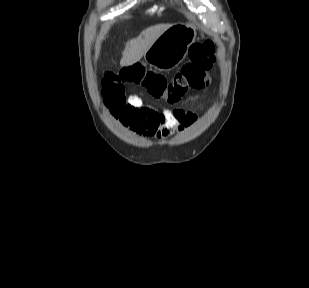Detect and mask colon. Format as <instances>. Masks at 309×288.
<instances>
[{"label":"colon","mask_w":309,"mask_h":288,"mask_svg":"<svg viewBox=\"0 0 309 288\" xmlns=\"http://www.w3.org/2000/svg\"><path fill=\"white\" fill-rule=\"evenodd\" d=\"M216 63L212 41L194 43L189 49V61L168 82L162 75L133 63L120 70L108 72L102 81L104 104L119 118L131 112L126 96V85L144 86L151 96L170 103L180 100L189 90H202L213 84L211 71Z\"/></svg>","instance_id":"obj_1"}]
</instances>
